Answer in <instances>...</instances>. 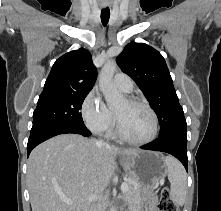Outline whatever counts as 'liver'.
I'll return each mask as SVG.
<instances>
[{
    "label": "liver",
    "instance_id": "liver-1",
    "mask_svg": "<svg viewBox=\"0 0 221 211\" xmlns=\"http://www.w3.org/2000/svg\"><path fill=\"white\" fill-rule=\"evenodd\" d=\"M139 152L120 149L78 134H62L38 145L27 164L32 211H90V196L100 197L117 167V155ZM63 198H72V204Z\"/></svg>",
    "mask_w": 221,
    "mask_h": 211
}]
</instances>
